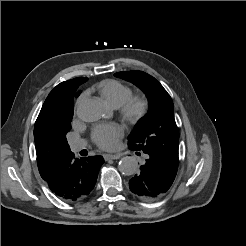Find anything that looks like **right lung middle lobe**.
Here are the masks:
<instances>
[{
    "instance_id": "obj_1",
    "label": "right lung middle lobe",
    "mask_w": 246,
    "mask_h": 246,
    "mask_svg": "<svg viewBox=\"0 0 246 246\" xmlns=\"http://www.w3.org/2000/svg\"><path fill=\"white\" fill-rule=\"evenodd\" d=\"M72 118H73V110L65 113L62 118L60 119V122H59V133L60 135L65 139H66V135L67 133L70 131L71 129V121H72Z\"/></svg>"
}]
</instances>
